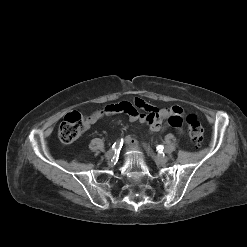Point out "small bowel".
I'll return each mask as SVG.
<instances>
[{"label":"small bowel","mask_w":247,"mask_h":247,"mask_svg":"<svg viewBox=\"0 0 247 247\" xmlns=\"http://www.w3.org/2000/svg\"><path fill=\"white\" fill-rule=\"evenodd\" d=\"M138 109H143L146 113H141ZM118 113L126 114L131 121L147 124L152 132L163 131L166 127V122L179 132L182 131L184 111L180 106L157 109L140 98H136L132 102L121 101L109 104L95 110L86 117V125L89 127L106 116ZM126 143L129 146H136L137 140L132 136H128Z\"/></svg>","instance_id":"small-bowel-1"}]
</instances>
